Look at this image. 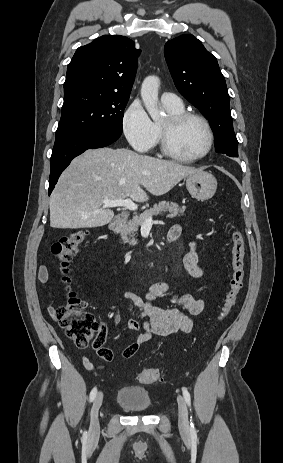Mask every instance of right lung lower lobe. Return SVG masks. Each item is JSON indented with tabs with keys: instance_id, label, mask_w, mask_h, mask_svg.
<instances>
[{
	"instance_id": "98d812e1",
	"label": "right lung lower lobe",
	"mask_w": 283,
	"mask_h": 463,
	"mask_svg": "<svg viewBox=\"0 0 283 463\" xmlns=\"http://www.w3.org/2000/svg\"><path fill=\"white\" fill-rule=\"evenodd\" d=\"M120 135L99 130H85L57 137L50 160L49 195L62 171L71 160L87 149L101 148L116 141Z\"/></svg>"
}]
</instances>
